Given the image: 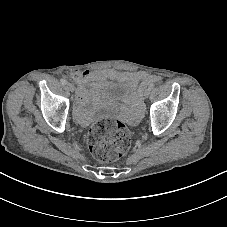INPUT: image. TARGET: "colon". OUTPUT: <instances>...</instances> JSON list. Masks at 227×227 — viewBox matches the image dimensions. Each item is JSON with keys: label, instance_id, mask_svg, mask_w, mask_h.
Masks as SVG:
<instances>
[{"label": "colon", "instance_id": "1", "mask_svg": "<svg viewBox=\"0 0 227 227\" xmlns=\"http://www.w3.org/2000/svg\"><path fill=\"white\" fill-rule=\"evenodd\" d=\"M91 154L103 162L119 159L131 143L127 127L117 121L100 120L92 125L87 136Z\"/></svg>", "mask_w": 227, "mask_h": 227}]
</instances>
